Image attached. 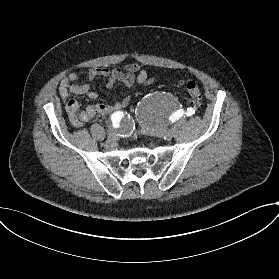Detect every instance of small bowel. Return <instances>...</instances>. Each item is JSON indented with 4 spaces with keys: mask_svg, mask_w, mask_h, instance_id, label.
I'll use <instances>...</instances> for the list:
<instances>
[{
    "mask_svg": "<svg viewBox=\"0 0 279 279\" xmlns=\"http://www.w3.org/2000/svg\"><path fill=\"white\" fill-rule=\"evenodd\" d=\"M87 77L90 81L98 77L105 78L108 89L114 88L117 83L130 87L136 80L140 84L150 82L147 72L137 63L114 69L91 68L87 72ZM79 78L78 73L72 72L60 81L58 87L59 95L65 103L66 112L75 127H82L97 115H107L113 111L125 109L130 105L131 97L126 95L122 99L109 104L92 103L85 109H81L79 103L71 98L72 95H82L94 100L98 98V94L91 90L90 84H78Z\"/></svg>",
    "mask_w": 279,
    "mask_h": 279,
    "instance_id": "obj_1",
    "label": "small bowel"
}]
</instances>
